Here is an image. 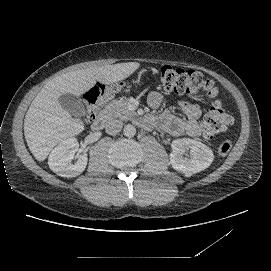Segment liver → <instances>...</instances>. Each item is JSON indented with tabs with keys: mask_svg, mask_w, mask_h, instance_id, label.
<instances>
[{
	"mask_svg": "<svg viewBox=\"0 0 271 271\" xmlns=\"http://www.w3.org/2000/svg\"><path fill=\"white\" fill-rule=\"evenodd\" d=\"M138 62L87 67L58 75L48 81L33 99L24 119V136L36 160L44 161L54 146L84 130L80 119H73L62 108L59 98L67 93L80 96L97 81L110 85L134 73Z\"/></svg>",
	"mask_w": 271,
	"mask_h": 271,
	"instance_id": "obj_1",
	"label": "liver"
}]
</instances>
